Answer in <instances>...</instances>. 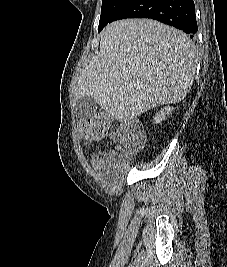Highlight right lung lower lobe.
<instances>
[{
  "label": "right lung lower lobe",
  "instance_id": "98d812e1",
  "mask_svg": "<svg viewBox=\"0 0 227 267\" xmlns=\"http://www.w3.org/2000/svg\"><path fill=\"white\" fill-rule=\"evenodd\" d=\"M125 18L158 20L183 30L191 38L198 30L193 0H127L110 22Z\"/></svg>",
  "mask_w": 227,
  "mask_h": 267
}]
</instances>
